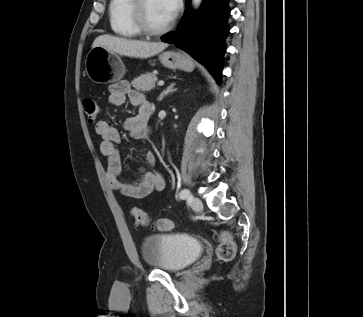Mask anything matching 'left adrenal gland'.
Here are the masks:
<instances>
[{"mask_svg": "<svg viewBox=\"0 0 363 317\" xmlns=\"http://www.w3.org/2000/svg\"><path fill=\"white\" fill-rule=\"evenodd\" d=\"M176 85V83H171L166 90H164L163 92H161V94L158 97V101H162L164 99V97H166L167 95H169V93H172L174 91H176V89H174V86Z\"/></svg>", "mask_w": 363, "mask_h": 317, "instance_id": "1", "label": "left adrenal gland"}]
</instances>
